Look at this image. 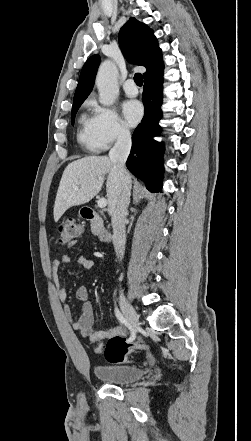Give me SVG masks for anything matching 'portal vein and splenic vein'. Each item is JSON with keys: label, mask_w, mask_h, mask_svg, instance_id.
I'll return each mask as SVG.
<instances>
[{"label": "portal vein and splenic vein", "mask_w": 251, "mask_h": 441, "mask_svg": "<svg viewBox=\"0 0 251 441\" xmlns=\"http://www.w3.org/2000/svg\"><path fill=\"white\" fill-rule=\"evenodd\" d=\"M99 208H105L107 206V200L105 198H100L97 202Z\"/></svg>", "instance_id": "obj_1"}]
</instances>
